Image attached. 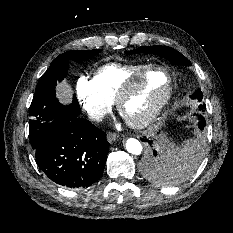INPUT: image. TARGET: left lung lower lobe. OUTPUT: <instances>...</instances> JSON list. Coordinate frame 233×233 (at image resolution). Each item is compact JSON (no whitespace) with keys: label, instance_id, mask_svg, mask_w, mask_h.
Listing matches in <instances>:
<instances>
[{"label":"left lung lower lobe","instance_id":"1","mask_svg":"<svg viewBox=\"0 0 233 233\" xmlns=\"http://www.w3.org/2000/svg\"><path fill=\"white\" fill-rule=\"evenodd\" d=\"M198 119H199L198 126H199V128H201L203 130L205 123H206L205 118L203 115H199ZM142 141L148 142L150 145L153 143L152 140H147V139H142ZM156 157H157V152L155 150H153V153L149 156V159H148V168L153 167ZM167 181H170V180H167Z\"/></svg>","mask_w":233,"mask_h":233}]
</instances>
